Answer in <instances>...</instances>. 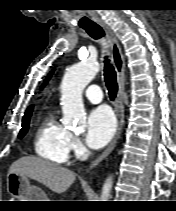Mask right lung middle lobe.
<instances>
[{
	"mask_svg": "<svg viewBox=\"0 0 176 211\" xmlns=\"http://www.w3.org/2000/svg\"><path fill=\"white\" fill-rule=\"evenodd\" d=\"M30 116H31V114H28L23 117L22 129L20 130L19 138H22L28 131Z\"/></svg>",
	"mask_w": 176,
	"mask_h": 211,
	"instance_id": "1",
	"label": "right lung middle lobe"
}]
</instances>
